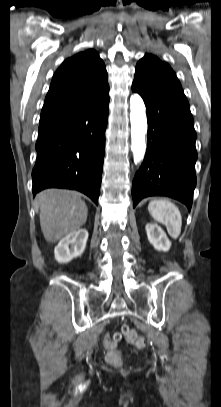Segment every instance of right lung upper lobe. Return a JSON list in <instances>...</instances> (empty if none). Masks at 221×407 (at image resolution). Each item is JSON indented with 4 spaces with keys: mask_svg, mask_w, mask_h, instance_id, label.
Instances as JSON below:
<instances>
[{
    "mask_svg": "<svg viewBox=\"0 0 221 407\" xmlns=\"http://www.w3.org/2000/svg\"><path fill=\"white\" fill-rule=\"evenodd\" d=\"M107 79L105 64L95 50L68 58L53 76L41 116L78 108L101 98L109 92Z\"/></svg>",
    "mask_w": 221,
    "mask_h": 407,
    "instance_id": "cb5924a9",
    "label": "right lung upper lobe"
}]
</instances>
